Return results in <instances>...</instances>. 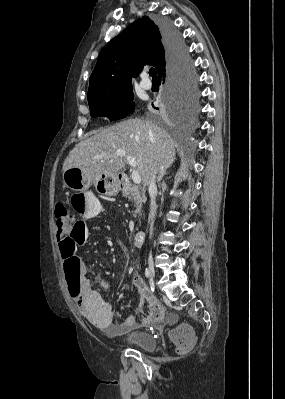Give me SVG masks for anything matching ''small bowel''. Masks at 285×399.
Returning a JSON list of instances; mask_svg holds the SVG:
<instances>
[{"instance_id": "small-bowel-1", "label": "small bowel", "mask_w": 285, "mask_h": 399, "mask_svg": "<svg viewBox=\"0 0 285 399\" xmlns=\"http://www.w3.org/2000/svg\"><path fill=\"white\" fill-rule=\"evenodd\" d=\"M87 194V202L83 210L80 211L84 220L79 221L86 230L87 224L85 220L93 219L102 211L100 201L93 194ZM61 238L60 236L59 240ZM70 269L77 274L79 283L77 294L73 295L69 291L70 297L78 306L81 314L98 328L106 329L116 335H123L140 327L154 326L164 319V309L158 304L140 274L137 273L133 276V283L140 295L138 308L141 309L146 304L148 313L138 318L128 315L117 322L114 319L110 304L103 297V295L109 293L108 286L104 285L101 291L93 289L88 280V269L80 258H76L70 263Z\"/></svg>"}]
</instances>
